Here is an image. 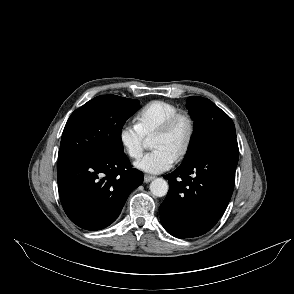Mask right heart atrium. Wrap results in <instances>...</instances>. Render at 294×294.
Here are the masks:
<instances>
[{
	"label": "right heart atrium",
	"mask_w": 294,
	"mask_h": 294,
	"mask_svg": "<svg viewBox=\"0 0 294 294\" xmlns=\"http://www.w3.org/2000/svg\"><path fill=\"white\" fill-rule=\"evenodd\" d=\"M118 139L121 147L130 158L141 157L146 137L137 124L124 123L119 129Z\"/></svg>",
	"instance_id": "right-heart-atrium-1"
}]
</instances>
